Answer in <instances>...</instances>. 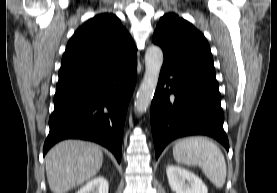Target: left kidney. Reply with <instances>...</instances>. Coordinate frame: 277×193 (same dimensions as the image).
Masks as SVG:
<instances>
[{
  "label": "left kidney",
  "mask_w": 277,
  "mask_h": 193,
  "mask_svg": "<svg viewBox=\"0 0 277 193\" xmlns=\"http://www.w3.org/2000/svg\"><path fill=\"white\" fill-rule=\"evenodd\" d=\"M166 173L169 185L176 193H208L202 180L189 170L169 164Z\"/></svg>",
  "instance_id": "5707ae66"
}]
</instances>
